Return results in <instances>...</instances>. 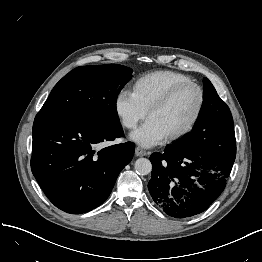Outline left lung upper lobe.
<instances>
[{
	"instance_id": "left-lung-upper-lobe-1",
	"label": "left lung upper lobe",
	"mask_w": 262,
	"mask_h": 262,
	"mask_svg": "<svg viewBox=\"0 0 262 262\" xmlns=\"http://www.w3.org/2000/svg\"><path fill=\"white\" fill-rule=\"evenodd\" d=\"M203 86V103L192 131L170 146L178 151L217 157L228 142H235L233 119L229 107L207 78L203 79Z\"/></svg>"
}]
</instances>
